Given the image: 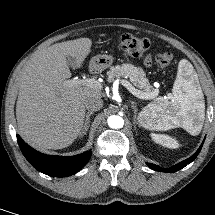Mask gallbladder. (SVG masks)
I'll list each match as a JSON object with an SVG mask.
<instances>
[{"mask_svg": "<svg viewBox=\"0 0 215 215\" xmlns=\"http://www.w3.org/2000/svg\"><path fill=\"white\" fill-rule=\"evenodd\" d=\"M67 61L69 62V64L73 67V68H77V64H76V60L73 57L68 56L67 57Z\"/></svg>", "mask_w": 215, "mask_h": 215, "instance_id": "obj_1", "label": "gallbladder"}]
</instances>
